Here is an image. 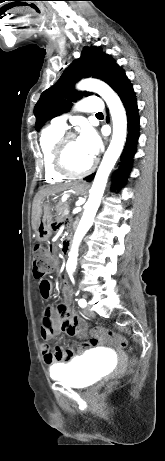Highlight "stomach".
I'll use <instances>...</instances> for the list:
<instances>
[{
  "label": "stomach",
  "mask_w": 165,
  "mask_h": 461,
  "mask_svg": "<svg viewBox=\"0 0 165 461\" xmlns=\"http://www.w3.org/2000/svg\"><path fill=\"white\" fill-rule=\"evenodd\" d=\"M72 189L76 194H83L86 191V186L83 183H76ZM50 210L48 203L42 205L40 220L35 230L36 238L39 241H47L52 234V215Z\"/></svg>",
  "instance_id": "1"
}]
</instances>
